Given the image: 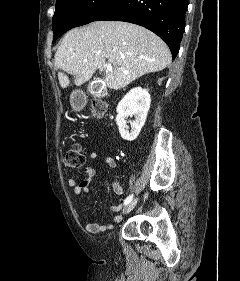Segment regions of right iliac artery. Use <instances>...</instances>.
Masks as SVG:
<instances>
[{
	"instance_id": "right-iliac-artery-1",
	"label": "right iliac artery",
	"mask_w": 240,
	"mask_h": 281,
	"mask_svg": "<svg viewBox=\"0 0 240 281\" xmlns=\"http://www.w3.org/2000/svg\"><path fill=\"white\" fill-rule=\"evenodd\" d=\"M132 198H133V194H132V195H129V196L125 199L124 205H127L128 203H130L131 200H132Z\"/></svg>"
}]
</instances>
